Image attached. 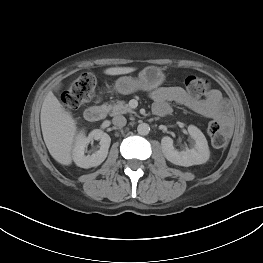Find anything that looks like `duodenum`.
Returning <instances> with one entry per match:
<instances>
[{"label":"duodenum","instance_id":"410a0bca","mask_svg":"<svg viewBox=\"0 0 263 263\" xmlns=\"http://www.w3.org/2000/svg\"><path fill=\"white\" fill-rule=\"evenodd\" d=\"M106 108L101 105H94L87 108L84 112V117L88 122H98L105 118Z\"/></svg>","mask_w":263,"mask_h":263}]
</instances>
